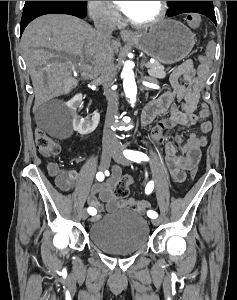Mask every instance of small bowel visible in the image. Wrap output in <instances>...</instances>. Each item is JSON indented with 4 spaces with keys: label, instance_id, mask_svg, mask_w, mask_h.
Returning a JSON list of instances; mask_svg holds the SVG:
<instances>
[{
    "label": "small bowel",
    "instance_id": "c3829d8e",
    "mask_svg": "<svg viewBox=\"0 0 237 300\" xmlns=\"http://www.w3.org/2000/svg\"><path fill=\"white\" fill-rule=\"evenodd\" d=\"M209 67L201 64L195 68L192 60L181 63L170 75L169 81L172 91L163 94L156 100L149 102L142 111L141 124L147 127L159 116L160 118L151 129V137L158 144H164L165 163L172 180L182 183L186 179V171L199 162L201 149L207 144L206 135L212 129V123L207 120L209 107L200 103V94L209 77ZM200 107L198 114L195 111ZM199 124L200 135L192 133L186 143L180 135L169 140V132L177 126H193ZM55 184L64 192L89 190L88 203L96 210L93 220L98 219L105 211L115 212L120 207H130L145 210L149 203L129 199L119 201L113 194V189L121 177V169L115 167L106 182L92 184L90 178L83 177L75 169L59 168L51 163L48 166Z\"/></svg>",
    "mask_w": 237,
    "mask_h": 300
}]
</instances>
